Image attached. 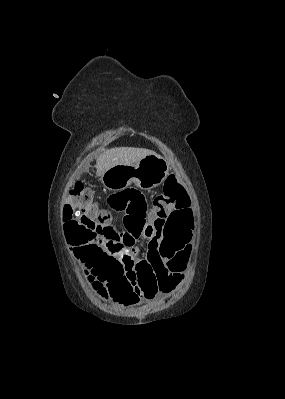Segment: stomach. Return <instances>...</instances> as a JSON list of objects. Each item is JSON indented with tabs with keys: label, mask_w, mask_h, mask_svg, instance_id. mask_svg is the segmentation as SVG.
I'll return each instance as SVG.
<instances>
[{
	"label": "stomach",
	"mask_w": 285,
	"mask_h": 399,
	"mask_svg": "<svg viewBox=\"0 0 285 399\" xmlns=\"http://www.w3.org/2000/svg\"><path fill=\"white\" fill-rule=\"evenodd\" d=\"M170 166L158 154H151L133 165H116L101 176V182L109 190L121 191L132 183L143 190L160 185L168 176Z\"/></svg>",
	"instance_id": "0dacf381"
}]
</instances>
